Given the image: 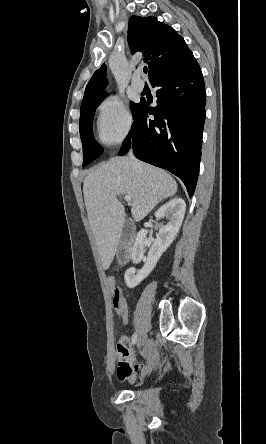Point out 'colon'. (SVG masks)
I'll return each instance as SVG.
<instances>
[{"instance_id": "colon-1", "label": "colon", "mask_w": 266, "mask_h": 444, "mask_svg": "<svg viewBox=\"0 0 266 444\" xmlns=\"http://www.w3.org/2000/svg\"><path fill=\"white\" fill-rule=\"evenodd\" d=\"M125 302L122 290L120 287L115 286L113 288V297H112V303L115 309L120 308Z\"/></svg>"}]
</instances>
